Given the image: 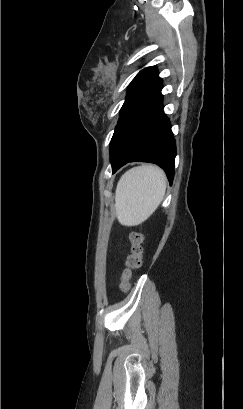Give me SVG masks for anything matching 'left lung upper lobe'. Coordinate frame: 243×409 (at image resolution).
Returning a JSON list of instances; mask_svg holds the SVG:
<instances>
[{"mask_svg":"<svg viewBox=\"0 0 243 409\" xmlns=\"http://www.w3.org/2000/svg\"><path fill=\"white\" fill-rule=\"evenodd\" d=\"M156 73L157 69L154 66H152L143 69L136 75V77L132 80L128 87L126 100L120 110L121 115L124 113L127 107L133 102V100L138 96V94L142 91L145 85L154 77ZM117 153L118 145L115 139V135L113 134V137L110 142L111 163L116 159Z\"/></svg>","mask_w":243,"mask_h":409,"instance_id":"5c2ea615","label":"left lung upper lobe"}]
</instances>
